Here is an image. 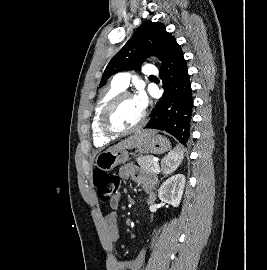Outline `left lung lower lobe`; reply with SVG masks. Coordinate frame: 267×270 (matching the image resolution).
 Wrapping results in <instances>:
<instances>
[{
	"label": "left lung lower lobe",
	"mask_w": 267,
	"mask_h": 270,
	"mask_svg": "<svg viewBox=\"0 0 267 270\" xmlns=\"http://www.w3.org/2000/svg\"><path fill=\"white\" fill-rule=\"evenodd\" d=\"M164 94L151 112L144 127L163 130L174 136L181 146L190 139L193 98L188 69L183 52L177 43L160 68Z\"/></svg>",
	"instance_id": "0a47b994"
}]
</instances>
